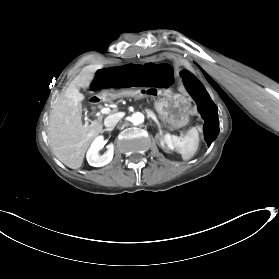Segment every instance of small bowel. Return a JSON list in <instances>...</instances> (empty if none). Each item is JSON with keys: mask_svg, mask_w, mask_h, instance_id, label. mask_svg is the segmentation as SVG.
Listing matches in <instances>:
<instances>
[{"mask_svg": "<svg viewBox=\"0 0 279 279\" xmlns=\"http://www.w3.org/2000/svg\"><path fill=\"white\" fill-rule=\"evenodd\" d=\"M173 82H174V78H173L172 70L163 69L156 75L154 86L168 87L171 86Z\"/></svg>", "mask_w": 279, "mask_h": 279, "instance_id": "obj_1", "label": "small bowel"}]
</instances>
